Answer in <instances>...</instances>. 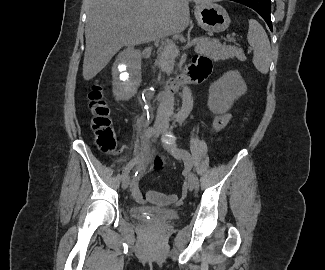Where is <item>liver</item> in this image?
I'll return each mask as SVG.
<instances>
[{
  "mask_svg": "<svg viewBox=\"0 0 325 270\" xmlns=\"http://www.w3.org/2000/svg\"><path fill=\"white\" fill-rule=\"evenodd\" d=\"M189 22L188 0H88L84 80L93 79L122 47L181 33Z\"/></svg>",
  "mask_w": 325,
  "mask_h": 270,
  "instance_id": "obj_1",
  "label": "liver"
}]
</instances>
